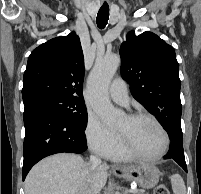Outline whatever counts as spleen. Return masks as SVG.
I'll return each instance as SVG.
<instances>
[{
    "instance_id": "3e777b00",
    "label": "spleen",
    "mask_w": 201,
    "mask_h": 194,
    "mask_svg": "<svg viewBox=\"0 0 201 194\" xmlns=\"http://www.w3.org/2000/svg\"><path fill=\"white\" fill-rule=\"evenodd\" d=\"M171 184L174 194H186L185 183L179 174H174L171 177Z\"/></svg>"
}]
</instances>
